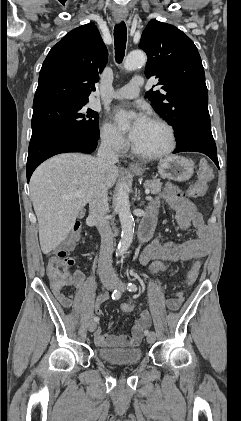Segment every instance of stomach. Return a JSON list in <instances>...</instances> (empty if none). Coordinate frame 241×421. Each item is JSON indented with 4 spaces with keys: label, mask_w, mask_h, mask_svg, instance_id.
Wrapping results in <instances>:
<instances>
[{
    "label": "stomach",
    "mask_w": 241,
    "mask_h": 421,
    "mask_svg": "<svg viewBox=\"0 0 241 421\" xmlns=\"http://www.w3.org/2000/svg\"><path fill=\"white\" fill-rule=\"evenodd\" d=\"M143 169L136 168L133 172L137 175L143 173ZM193 163L182 156H168L159 161L158 172L163 178L174 181H185L193 175Z\"/></svg>",
    "instance_id": "1"
}]
</instances>
